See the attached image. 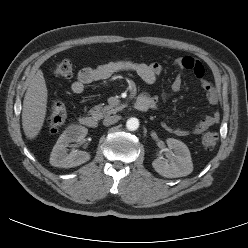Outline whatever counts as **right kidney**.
I'll use <instances>...</instances> for the list:
<instances>
[{
    "label": "right kidney",
    "instance_id": "1",
    "mask_svg": "<svg viewBox=\"0 0 248 248\" xmlns=\"http://www.w3.org/2000/svg\"><path fill=\"white\" fill-rule=\"evenodd\" d=\"M88 129L79 126H69L58 138L50 155V164L55 167L71 168L79 166L90 159V154L85 151L72 150L67 153V147L70 143H84Z\"/></svg>",
    "mask_w": 248,
    "mask_h": 248
}]
</instances>
